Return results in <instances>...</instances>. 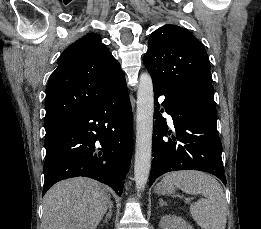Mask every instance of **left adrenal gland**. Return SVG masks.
<instances>
[{"label": "left adrenal gland", "mask_w": 261, "mask_h": 229, "mask_svg": "<svg viewBox=\"0 0 261 229\" xmlns=\"http://www.w3.org/2000/svg\"><path fill=\"white\" fill-rule=\"evenodd\" d=\"M163 205H167V203H164L163 199H159V207H163Z\"/></svg>", "instance_id": "a2214340"}]
</instances>
